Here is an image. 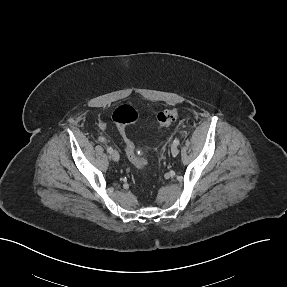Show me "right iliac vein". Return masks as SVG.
Instances as JSON below:
<instances>
[{"label": "right iliac vein", "mask_w": 287, "mask_h": 287, "mask_svg": "<svg viewBox=\"0 0 287 287\" xmlns=\"http://www.w3.org/2000/svg\"><path fill=\"white\" fill-rule=\"evenodd\" d=\"M111 157L116 162L119 161V159H120V155H119V153L117 151H113L112 154H111Z\"/></svg>", "instance_id": "1"}]
</instances>
